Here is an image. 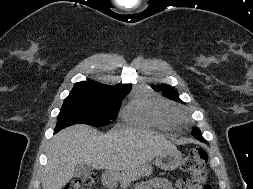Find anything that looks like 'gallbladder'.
Listing matches in <instances>:
<instances>
[{
	"label": "gallbladder",
	"instance_id": "bac80fb5",
	"mask_svg": "<svg viewBox=\"0 0 253 189\" xmlns=\"http://www.w3.org/2000/svg\"><path fill=\"white\" fill-rule=\"evenodd\" d=\"M92 170H93L92 166L81 163L75 167L74 176L75 177H82V176L90 174L92 172Z\"/></svg>",
	"mask_w": 253,
	"mask_h": 189
}]
</instances>
